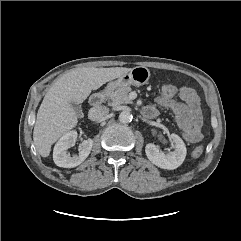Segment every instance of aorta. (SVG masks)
<instances>
[{
	"instance_id": "1",
	"label": "aorta",
	"mask_w": 241,
	"mask_h": 241,
	"mask_svg": "<svg viewBox=\"0 0 241 241\" xmlns=\"http://www.w3.org/2000/svg\"><path fill=\"white\" fill-rule=\"evenodd\" d=\"M133 119V115L130 111L124 110L119 114V121L121 123H129Z\"/></svg>"
}]
</instances>
